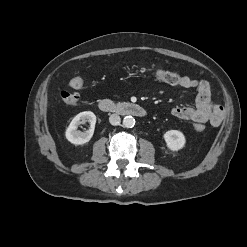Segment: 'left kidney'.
Returning <instances> with one entry per match:
<instances>
[{
	"instance_id": "obj_1",
	"label": "left kidney",
	"mask_w": 247,
	"mask_h": 247,
	"mask_svg": "<svg viewBox=\"0 0 247 247\" xmlns=\"http://www.w3.org/2000/svg\"><path fill=\"white\" fill-rule=\"evenodd\" d=\"M164 140L168 149L178 151L182 149L186 143L185 136L181 131L169 130L164 134Z\"/></svg>"
}]
</instances>
